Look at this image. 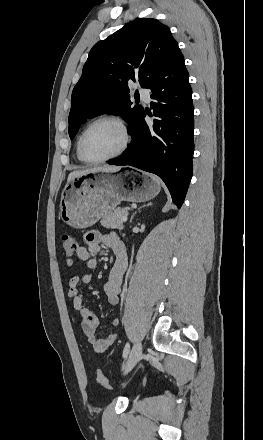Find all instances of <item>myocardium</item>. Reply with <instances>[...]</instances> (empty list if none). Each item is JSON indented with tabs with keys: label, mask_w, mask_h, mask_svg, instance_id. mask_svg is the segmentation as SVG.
Here are the masks:
<instances>
[{
	"label": "myocardium",
	"mask_w": 263,
	"mask_h": 440,
	"mask_svg": "<svg viewBox=\"0 0 263 440\" xmlns=\"http://www.w3.org/2000/svg\"><path fill=\"white\" fill-rule=\"evenodd\" d=\"M100 122H112L115 125H117L122 132L123 141H122V144L119 147V149L117 151H115L114 153H112L108 156L102 157V158L93 159V158H90L86 154L85 149H84V142H85L87 134L92 129V127H94L96 124H98ZM130 142H131V133H130V130H129L126 122L122 118L115 116V115H104V116H100V117L94 119L93 121H91L86 126V128L83 130V132L80 135L79 141H78V152H79L80 158L84 162L90 163V164H99V163H104V162H107L109 160H112V159H115V158L121 156L128 149Z\"/></svg>",
	"instance_id": "obj_1"
}]
</instances>
